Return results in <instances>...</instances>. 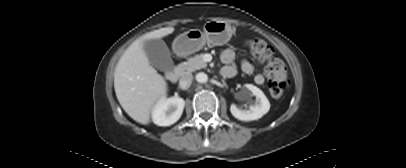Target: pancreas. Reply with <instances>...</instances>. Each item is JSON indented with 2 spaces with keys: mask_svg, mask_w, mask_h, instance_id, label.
Wrapping results in <instances>:
<instances>
[{
  "mask_svg": "<svg viewBox=\"0 0 406 168\" xmlns=\"http://www.w3.org/2000/svg\"><path fill=\"white\" fill-rule=\"evenodd\" d=\"M207 64L203 60L202 55H195L188 59L187 62H183L178 65L181 74L194 72L196 70L206 68Z\"/></svg>",
  "mask_w": 406,
  "mask_h": 168,
  "instance_id": "obj_1",
  "label": "pancreas"
}]
</instances>
